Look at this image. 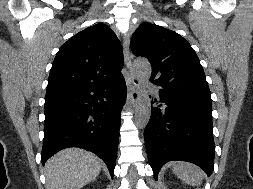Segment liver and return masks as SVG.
<instances>
[{
	"instance_id": "obj_1",
	"label": "liver",
	"mask_w": 253,
	"mask_h": 189,
	"mask_svg": "<svg viewBox=\"0 0 253 189\" xmlns=\"http://www.w3.org/2000/svg\"><path fill=\"white\" fill-rule=\"evenodd\" d=\"M101 160L80 148H67L46 163V189H81L101 171Z\"/></svg>"
}]
</instances>
